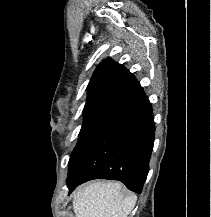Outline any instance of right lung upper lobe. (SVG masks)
<instances>
[{"mask_svg": "<svg viewBox=\"0 0 211 217\" xmlns=\"http://www.w3.org/2000/svg\"><path fill=\"white\" fill-rule=\"evenodd\" d=\"M145 97L134 76L123 65L108 58L96 68L89 82L84 119L117 118Z\"/></svg>", "mask_w": 211, "mask_h": 217, "instance_id": "obj_1", "label": "right lung upper lobe"}]
</instances>
